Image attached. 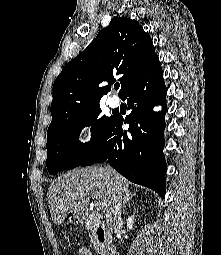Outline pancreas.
I'll list each match as a JSON object with an SVG mask.
<instances>
[{
    "label": "pancreas",
    "mask_w": 221,
    "mask_h": 255,
    "mask_svg": "<svg viewBox=\"0 0 221 255\" xmlns=\"http://www.w3.org/2000/svg\"><path fill=\"white\" fill-rule=\"evenodd\" d=\"M99 225V220H92V221H89V224L87 225V229L91 232V240L95 243V247L101 251L102 250V247L96 243V238H95V235H94V232H95V229L96 227Z\"/></svg>",
    "instance_id": "obj_1"
}]
</instances>
